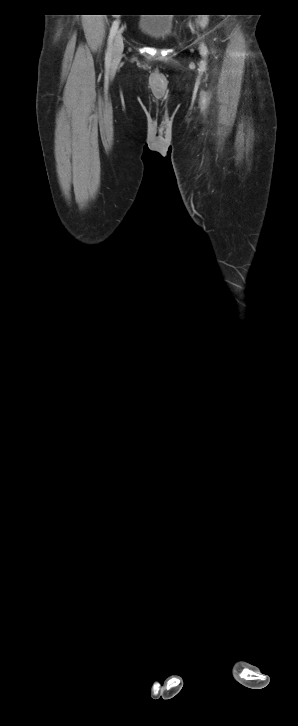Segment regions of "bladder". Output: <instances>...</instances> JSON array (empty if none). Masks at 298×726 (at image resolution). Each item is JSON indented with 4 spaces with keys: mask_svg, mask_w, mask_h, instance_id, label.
I'll use <instances>...</instances> for the list:
<instances>
[{
    "mask_svg": "<svg viewBox=\"0 0 298 726\" xmlns=\"http://www.w3.org/2000/svg\"><path fill=\"white\" fill-rule=\"evenodd\" d=\"M173 18L168 15L156 14L143 17L138 29L141 33L155 41H163L169 37L173 29Z\"/></svg>",
    "mask_w": 298,
    "mask_h": 726,
    "instance_id": "31cf9c89",
    "label": "bladder"
}]
</instances>
